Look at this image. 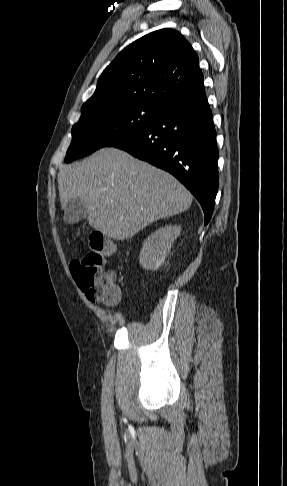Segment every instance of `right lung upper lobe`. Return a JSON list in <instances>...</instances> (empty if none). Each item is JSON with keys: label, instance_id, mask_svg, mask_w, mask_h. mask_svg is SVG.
Masks as SVG:
<instances>
[{"label": "right lung upper lobe", "instance_id": "1", "mask_svg": "<svg viewBox=\"0 0 287 486\" xmlns=\"http://www.w3.org/2000/svg\"><path fill=\"white\" fill-rule=\"evenodd\" d=\"M203 90V74L192 46L178 31L160 29L116 56L82 110L122 101H149L167 108Z\"/></svg>", "mask_w": 287, "mask_h": 486}]
</instances>
